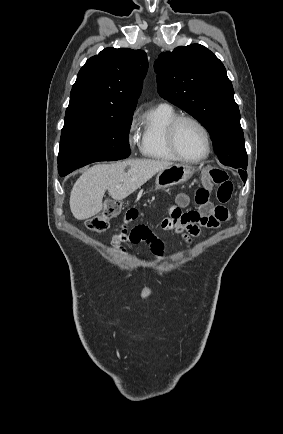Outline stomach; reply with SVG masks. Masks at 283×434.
Instances as JSON below:
<instances>
[{
	"label": "stomach",
	"instance_id": "1",
	"mask_svg": "<svg viewBox=\"0 0 283 434\" xmlns=\"http://www.w3.org/2000/svg\"><path fill=\"white\" fill-rule=\"evenodd\" d=\"M195 169L187 164H173L158 172L155 181V189H165L174 185L182 184L189 180Z\"/></svg>",
	"mask_w": 283,
	"mask_h": 434
}]
</instances>
